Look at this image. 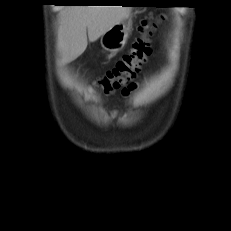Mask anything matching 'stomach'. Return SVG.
Returning a JSON list of instances; mask_svg holds the SVG:
<instances>
[{"mask_svg": "<svg viewBox=\"0 0 231 231\" xmlns=\"http://www.w3.org/2000/svg\"><path fill=\"white\" fill-rule=\"evenodd\" d=\"M131 20L122 21L110 28L101 37L102 47L110 52L118 51L124 46L131 31Z\"/></svg>", "mask_w": 231, "mask_h": 231, "instance_id": "stomach-1", "label": "stomach"}]
</instances>
